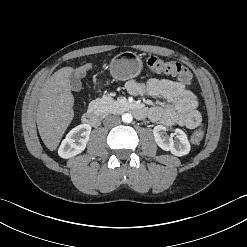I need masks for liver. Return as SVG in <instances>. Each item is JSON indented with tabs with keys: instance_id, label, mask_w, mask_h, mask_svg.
<instances>
[{
	"instance_id": "liver-1",
	"label": "liver",
	"mask_w": 247,
	"mask_h": 247,
	"mask_svg": "<svg viewBox=\"0 0 247 247\" xmlns=\"http://www.w3.org/2000/svg\"><path fill=\"white\" fill-rule=\"evenodd\" d=\"M92 66L63 67L47 78L40 90L36 122L43 143L51 151L56 150L74 118L70 76L85 74Z\"/></svg>"
}]
</instances>
